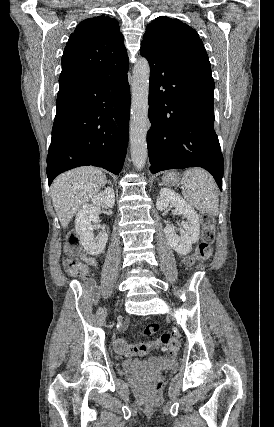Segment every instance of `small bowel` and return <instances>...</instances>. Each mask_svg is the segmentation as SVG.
Returning a JSON list of instances; mask_svg holds the SVG:
<instances>
[{
	"instance_id": "small-bowel-1",
	"label": "small bowel",
	"mask_w": 274,
	"mask_h": 427,
	"mask_svg": "<svg viewBox=\"0 0 274 427\" xmlns=\"http://www.w3.org/2000/svg\"><path fill=\"white\" fill-rule=\"evenodd\" d=\"M81 259L83 260V263L79 264V272L81 275L88 276L89 267H92L94 269L99 268L97 260L94 257L88 255L87 253H82Z\"/></svg>"
}]
</instances>
